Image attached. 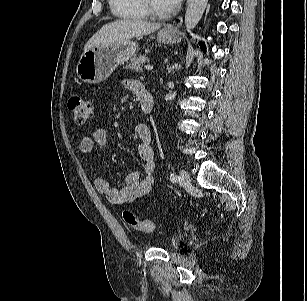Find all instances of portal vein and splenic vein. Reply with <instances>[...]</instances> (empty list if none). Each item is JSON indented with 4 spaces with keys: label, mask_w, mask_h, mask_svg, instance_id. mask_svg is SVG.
<instances>
[{
    "label": "portal vein and splenic vein",
    "mask_w": 307,
    "mask_h": 301,
    "mask_svg": "<svg viewBox=\"0 0 307 301\" xmlns=\"http://www.w3.org/2000/svg\"><path fill=\"white\" fill-rule=\"evenodd\" d=\"M144 68H145L146 70H152V69H153V66H151V65H146V66H144Z\"/></svg>",
    "instance_id": "portal-vein-and-splenic-vein-1"
}]
</instances>
